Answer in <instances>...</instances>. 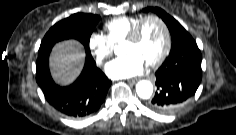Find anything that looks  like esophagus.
<instances>
[{"mask_svg": "<svg viewBox=\"0 0 236 135\" xmlns=\"http://www.w3.org/2000/svg\"><path fill=\"white\" fill-rule=\"evenodd\" d=\"M136 81H137V79H129V80H128V83L134 84Z\"/></svg>", "mask_w": 236, "mask_h": 135, "instance_id": "1", "label": "esophagus"}]
</instances>
